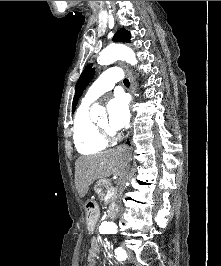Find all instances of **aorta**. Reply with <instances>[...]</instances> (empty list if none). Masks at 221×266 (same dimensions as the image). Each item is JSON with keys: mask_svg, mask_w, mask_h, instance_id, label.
I'll list each match as a JSON object with an SVG mask.
<instances>
[{"mask_svg": "<svg viewBox=\"0 0 221 266\" xmlns=\"http://www.w3.org/2000/svg\"><path fill=\"white\" fill-rule=\"evenodd\" d=\"M117 60H123L131 65L137 64V59L134 52L125 45L111 44L104 48L97 59L98 64L108 65ZM104 113V109L98 105H94L91 108V117L95 118L97 115ZM99 229L105 233L115 234L118 232L117 225L112 221H106L102 223Z\"/></svg>", "mask_w": 221, "mask_h": 266, "instance_id": "obj_1", "label": "aorta"}]
</instances>
